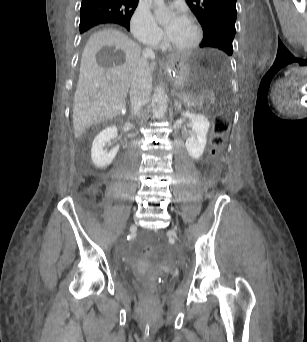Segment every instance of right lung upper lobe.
I'll return each mask as SVG.
<instances>
[{
  "instance_id": "cb5924a9",
  "label": "right lung upper lobe",
  "mask_w": 307,
  "mask_h": 342,
  "mask_svg": "<svg viewBox=\"0 0 307 342\" xmlns=\"http://www.w3.org/2000/svg\"><path fill=\"white\" fill-rule=\"evenodd\" d=\"M138 5V0H82L81 10H106L118 15L115 24L129 30L130 18Z\"/></svg>"
}]
</instances>
